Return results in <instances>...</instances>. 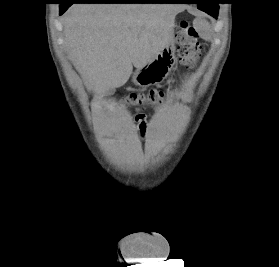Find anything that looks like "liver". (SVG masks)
Masks as SVG:
<instances>
[{"label": "liver", "instance_id": "obj_1", "mask_svg": "<svg viewBox=\"0 0 279 267\" xmlns=\"http://www.w3.org/2000/svg\"><path fill=\"white\" fill-rule=\"evenodd\" d=\"M184 6L155 3L76 4L64 20L65 44L88 89L123 86L170 44Z\"/></svg>", "mask_w": 279, "mask_h": 267}]
</instances>
